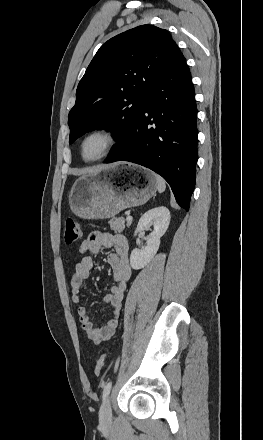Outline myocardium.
I'll list each match as a JSON object with an SVG mask.
<instances>
[{
  "label": "myocardium",
  "mask_w": 263,
  "mask_h": 440,
  "mask_svg": "<svg viewBox=\"0 0 263 440\" xmlns=\"http://www.w3.org/2000/svg\"><path fill=\"white\" fill-rule=\"evenodd\" d=\"M101 136L104 138L105 140V147L103 149V151L96 157L94 158H86L84 156V144L85 142L92 136ZM117 144V137L115 135V133L107 128V127H95L90 129L89 131H87L80 139L79 144H78V151H79V156L81 158L82 161L86 162V163H93V162H97L100 161L102 159H104L105 157H107L112 150L115 148Z\"/></svg>",
  "instance_id": "obj_1"
}]
</instances>
